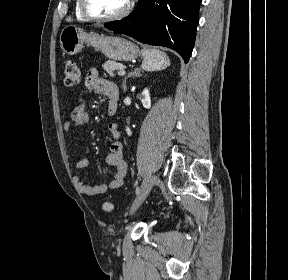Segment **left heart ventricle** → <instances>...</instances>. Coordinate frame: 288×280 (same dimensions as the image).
<instances>
[{
  "label": "left heart ventricle",
  "mask_w": 288,
  "mask_h": 280,
  "mask_svg": "<svg viewBox=\"0 0 288 280\" xmlns=\"http://www.w3.org/2000/svg\"><path fill=\"white\" fill-rule=\"evenodd\" d=\"M127 0H88L91 11L98 15L108 16L120 12Z\"/></svg>",
  "instance_id": "left-heart-ventricle-1"
}]
</instances>
